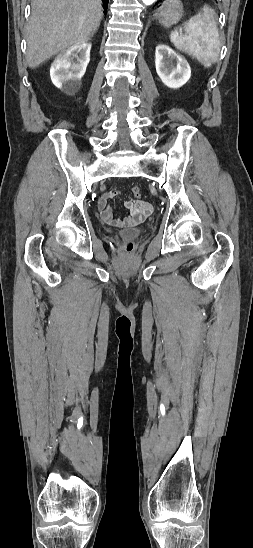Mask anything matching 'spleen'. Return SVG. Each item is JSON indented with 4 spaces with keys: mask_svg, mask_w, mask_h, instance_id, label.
I'll list each match as a JSON object with an SVG mask.
<instances>
[{
    "mask_svg": "<svg viewBox=\"0 0 253 548\" xmlns=\"http://www.w3.org/2000/svg\"><path fill=\"white\" fill-rule=\"evenodd\" d=\"M185 35L171 32L170 40L174 46L193 57L205 68L215 63L220 54V39L214 11L204 5L198 14L184 24Z\"/></svg>",
    "mask_w": 253,
    "mask_h": 548,
    "instance_id": "spleen-1",
    "label": "spleen"
}]
</instances>
